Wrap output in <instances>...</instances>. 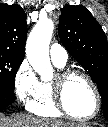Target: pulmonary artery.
<instances>
[{
  "label": "pulmonary artery",
  "mask_w": 108,
  "mask_h": 127,
  "mask_svg": "<svg viewBox=\"0 0 108 127\" xmlns=\"http://www.w3.org/2000/svg\"><path fill=\"white\" fill-rule=\"evenodd\" d=\"M50 58L55 64L65 65L67 63L68 54L61 45L53 44L50 47Z\"/></svg>",
  "instance_id": "e3ab8cb5"
}]
</instances>
